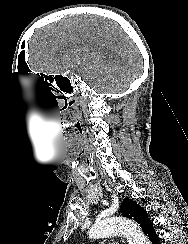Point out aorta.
<instances>
[{
	"label": "aorta",
	"instance_id": "aorta-1",
	"mask_svg": "<svg viewBox=\"0 0 188 244\" xmlns=\"http://www.w3.org/2000/svg\"><path fill=\"white\" fill-rule=\"evenodd\" d=\"M124 235L129 244H149L136 223L122 217L107 218L93 225L88 231L91 238Z\"/></svg>",
	"mask_w": 188,
	"mask_h": 244
}]
</instances>
